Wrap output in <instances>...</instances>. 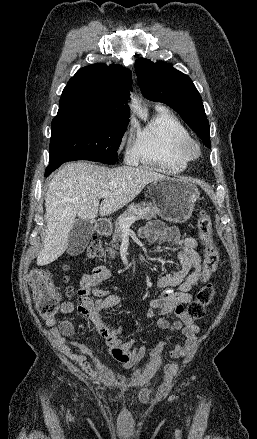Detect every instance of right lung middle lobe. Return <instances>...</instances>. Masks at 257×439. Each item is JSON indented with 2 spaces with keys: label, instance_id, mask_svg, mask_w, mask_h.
Wrapping results in <instances>:
<instances>
[{
  "label": "right lung middle lobe",
  "instance_id": "1",
  "mask_svg": "<svg viewBox=\"0 0 257 439\" xmlns=\"http://www.w3.org/2000/svg\"><path fill=\"white\" fill-rule=\"evenodd\" d=\"M128 118L90 112L56 116L51 125L49 164L82 159L114 163Z\"/></svg>",
  "mask_w": 257,
  "mask_h": 439
}]
</instances>
